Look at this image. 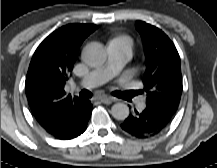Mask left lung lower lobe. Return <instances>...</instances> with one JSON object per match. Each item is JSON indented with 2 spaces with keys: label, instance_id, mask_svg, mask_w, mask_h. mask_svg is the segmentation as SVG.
Wrapping results in <instances>:
<instances>
[{
  "label": "left lung lower lobe",
  "instance_id": "obj_1",
  "mask_svg": "<svg viewBox=\"0 0 217 168\" xmlns=\"http://www.w3.org/2000/svg\"><path fill=\"white\" fill-rule=\"evenodd\" d=\"M173 115L167 110L147 104L142 112L130 115L121 128L137 138H146L160 133L171 122Z\"/></svg>",
  "mask_w": 217,
  "mask_h": 168
}]
</instances>
